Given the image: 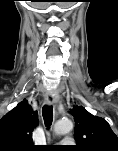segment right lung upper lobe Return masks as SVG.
I'll use <instances>...</instances> for the list:
<instances>
[{
	"label": "right lung upper lobe",
	"mask_w": 118,
	"mask_h": 151,
	"mask_svg": "<svg viewBox=\"0 0 118 151\" xmlns=\"http://www.w3.org/2000/svg\"><path fill=\"white\" fill-rule=\"evenodd\" d=\"M37 123V112L24 99L0 119V151L33 150L32 131Z\"/></svg>",
	"instance_id": "right-lung-upper-lobe-1"
}]
</instances>
